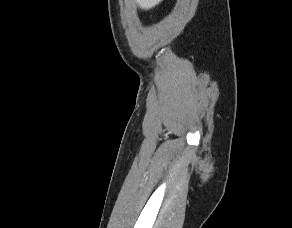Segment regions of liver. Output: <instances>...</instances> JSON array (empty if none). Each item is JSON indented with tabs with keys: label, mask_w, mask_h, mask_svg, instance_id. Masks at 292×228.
I'll use <instances>...</instances> for the list:
<instances>
[{
	"label": "liver",
	"mask_w": 292,
	"mask_h": 228,
	"mask_svg": "<svg viewBox=\"0 0 292 228\" xmlns=\"http://www.w3.org/2000/svg\"><path fill=\"white\" fill-rule=\"evenodd\" d=\"M141 9H151L158 5L162 0H136Z\"/></svg>",
	"instance_id": "obj_1"
}]
</instances>
